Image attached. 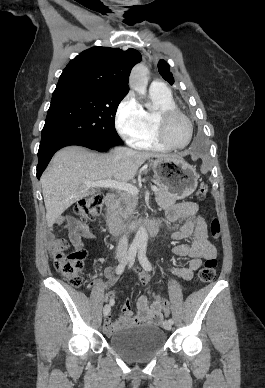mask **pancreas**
<instances>
[{
	"instance_id": "obj_1",
	"label": "pancreas",
	"mask_w": 265,
	"mask_h": 388,
	"mask_svg": "<svg viewBox=\"0 0 265 388\" xmlns=\"http://www.w3.org/2000/svg\"><path fill=\"white\" fill-rule=\"evenodd\" d=\"M159 192H155L156 202L160 208L166 210L169 206H173L176 202V196L174 194H170V192H166L164 188L159 186ZM138 204V198L136 196H132V194H123L122 198L116 202L114 208L118 214H120L121 218H128L131 214H136L134 212L136 206Z\"/></svg>"
}]
</instances>
